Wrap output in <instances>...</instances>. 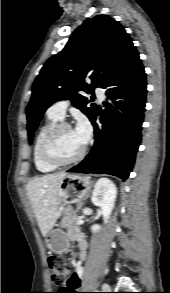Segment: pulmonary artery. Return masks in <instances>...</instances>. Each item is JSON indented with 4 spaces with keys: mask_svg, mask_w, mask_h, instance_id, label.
Returning a JSON list of instances; mask_svg holds the SVG:
<instances>
[{
    "mask_svg": "<svg viewBox=\"0 0 170 293\" xmlns=\"http://www.w3.org/2000/svg\"><path fill=\"white\" fill-rule=\"evenodd\" d=\"M96 95L100 98L103 99L105 97V91L103 89H97L96 90ZM69 105L68 100H60L55 102L53 105H51L48 109V114L51 116H54L58 119H61L64 117L66 109Z\"/></svg>",
    "mask_w": 170,
    "mask_h": 293,
    "instance_id": "obj_1",
    "label": "pulmonary artery"
}]
</instances>
